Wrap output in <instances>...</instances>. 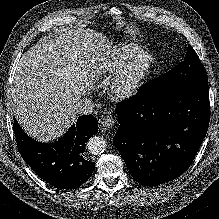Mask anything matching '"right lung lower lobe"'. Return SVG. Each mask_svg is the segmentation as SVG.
Returning a JSON list of instances; mask_svg holds the SVG:
<instances>
[{"instance_id": "obj_1", "label": "right lung lower lobe", "mask_w": 219, "mask_h": 219, "mask_svg": "<svg viewBox=\"0 0 219 219\" xmlns=\"http://www.w3.org/2000/svg\"><path fill=\"white\" fill-rule=\"evenodd\" d=\"M13 130L22 158L50 185L75 189L94 171L95 162L84 156L85 143L98 130V121L93 115L80 116L62 138L49 144L28 137L15 119Z\"/></svg>"}]
</instances>
